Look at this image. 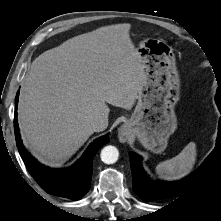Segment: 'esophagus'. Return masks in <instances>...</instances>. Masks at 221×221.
Returning <instances> with one entry per match:
<instances>
[{
  "instance_id": "obj_1",
  "label": "esophagus",
  "mask_w": 221,
  "mask_h": 221,
  "mask_svg": "<svg viewBox=\"0 0 221 221\" xmlns=\"http://www.w3.org/2000/svg\"><path fill=\"white\" fill-rule=\"evenodd\" d=\"M130 127L128 124H123L118 130V139L120 142L125 143L130 137Z\"/></svg>"
}]
</instances>
